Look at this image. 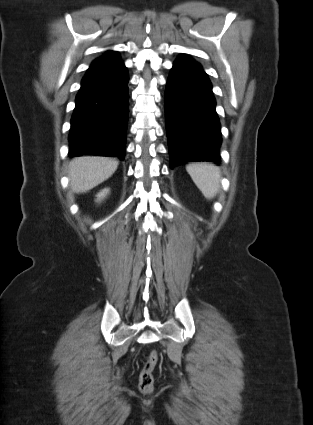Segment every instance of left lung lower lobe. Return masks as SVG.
Listing matches in <instances>:
<instances>
[{
  "instance_id": "left-lung-lower-lobe-1",
  "label": "left lung lower lobe",
  "mask_w": 313,
  "mask_h": 425,
  "mask_svg": "<svg viewBox=\"0 0 313 425\" xmlns=\"http://www.w3.org/2000/svg\"><path fill=\"white\" fill-rule=\"evenodd\" d=\"M212 85L201 65L181 55L165 92L171 168L185 162H220L221 126Z\"/></svg>"
}]
</instances>
